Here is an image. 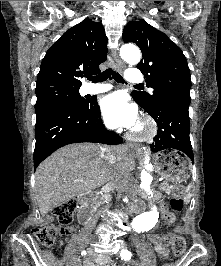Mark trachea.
Wrapping results in <instances>:
<instances>
[{
    "mask_svg": "<svg viewBox=\"0 0 221 266\" xmlns=\"http://www.w3.org/2000/svg\"><path fill=\"white\" fill-rule=\"evenodd\" d=\"M112 75L113 79L118 82V83H125V80L122 78V76L118 73L113 71L111 68L106 69L105 71H103L102 73L96 75V76H87V79L97 83V82H103L105 80H107L108 78H110ZM136 86H140V85H136Z\"/></svg>",
    "mask_w": 221,
    "mask_h": 266,
    "instance_id": "3493384b",
    "label": "trachea"
}]
</instances>
